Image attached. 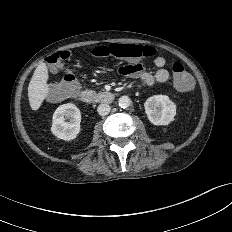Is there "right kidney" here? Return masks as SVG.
<instances>
[{
	"label": "right kidney",
	"mask_w": 232,
	"mask_h": 232,
	"mask_svg": "<svg viewBox=\"0 0 232 232\" xmlns=\"http://www.w3.org/2000/svg\"><path fill=\"white\" fill-rule=\"evenodd\" d=\"M66 119H70L69 122ZM81 112L72 103L60 105L53 114L52 133L59 139L70 141L80 132Z\"/></svg>",
	"instance_id": "ca27d5eb"
}]
</instances>
